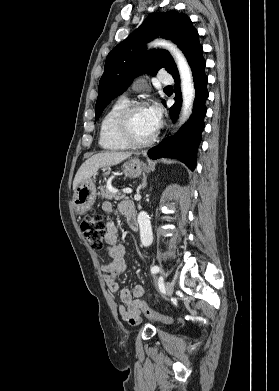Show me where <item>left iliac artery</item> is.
<instances>
[{
    "mask_svg": "<svg viewBox=\"0 0 279 391\" xmlns=\"http://www.w3.org/2000/svg\"><path fill=\"white\" fill-rule=\"evenodd\" d=\"M159 270H160V268H159L158 266H153V267L151 268V273H152V274H156V273L159 272ZM160 280H163V278L160 277Z\"/></svg>",
    "mask_w": 279,
    "mask_h": 391,
    "instance_id": "1",
    "label": "left iliac artery"
}]
</instances>
